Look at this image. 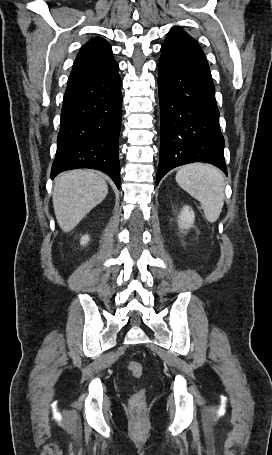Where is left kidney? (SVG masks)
Wrapping results in <instances>:
<instances>
[{"instance_id":"1","label":"left kidney","mask_w":272,"mask_h":455,"mask_svg":"<svg viewBox=\"0 0 272 455\" xmlns=\"http://www.w3.org/2000/svg\"><path fill=\"white\" fill-rule=\"evenodd\" d=\"M195 219L194 211L189 206H184L180 216L178 217V225L180 229H189L193 227Z\"/></svg>"}]
</instances>
